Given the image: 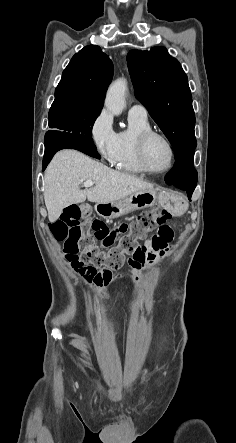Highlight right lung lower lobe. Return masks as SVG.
I'll return each mask as SVG.
<instances>
[{
  "instance_id": "obj_1",
  "label": "right lung lower lobe",
  "mask_w": 236,
  "mask_h": 443,
  "mask_svg": "<svg viewBox=\"0 0 236 443\" xmlns=\"http://www.w3.org/2000/svg\"><path fill=\"white\" fill-rule=\"evenodd\" d=\"M64 148L76 149L97 159L101 158L94 143L87 142L77 137H64L62 135L46 136L43 170H45L53 155L58 150Z\"/></svg>"
}]
</instances>
